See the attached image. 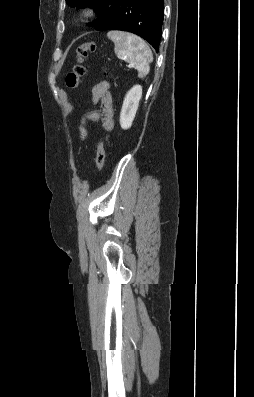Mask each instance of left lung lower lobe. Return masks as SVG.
Listing matches in <instances>:
<instances>
[{"label":"left lung lower lobe","instance_id":"1","mask_svg":"<svg viewBox=\"0 0 254 397\" xmlns=\"http://www.w3.org/2000/svg\"><path fill=\"white\" fill-rule=\"evenodd\" d=\"M163 17L164 0H108L96 29L135 33L158 51Z\"/></svg>","mask_w":254,"mask_h":397}]
</instances>
